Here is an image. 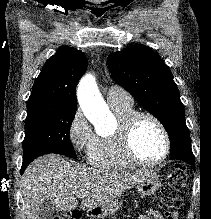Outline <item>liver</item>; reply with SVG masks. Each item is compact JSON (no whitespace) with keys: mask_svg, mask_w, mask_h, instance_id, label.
Instances as JSON below:
<instances>
[{"mask_svg":"<svg viewBox=\"0 0 211 219\" xmlns=\"http://www.w3.org/2000/svg\"><path fill=\"white\" fill-rule=\"evenodd\" d=\"M149 174L148 170L129 173L74 166L62 156L44 155L26 168L22 178L27 219H39L38 209L45 200L53 201L57 211L74 210L79 193L86 194L80 209L103 206Z\"/></svg>","mask_w":211,"mask_h":219,"instance_id":"1","label":"liver"}]
</instances>
